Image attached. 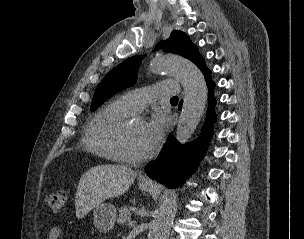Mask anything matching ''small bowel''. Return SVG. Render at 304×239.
Instances as JSON below:
<instances>
[{
  "mask_svg": "<svg viewBox=\"0 0 304 239\" xmlns=\"http://www.w3.org/2000/svg\"><path fill=\"white\" fill-rule=\"evenodd\" d=\"M63 230L60 227H53L49 232V239H62Z\"/></svg>",
  "mask_w": 304,
  "mask_h": 239,
  "instance_id": "c3829d8e",
  "label": "small bowel"
}]
</instances>
